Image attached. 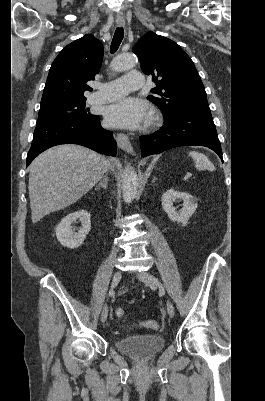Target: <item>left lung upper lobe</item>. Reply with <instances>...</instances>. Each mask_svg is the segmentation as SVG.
Instances as JSON below:
<instances>
[{
	"label": "left lung upper lobe",
	"instance_id": "5c2ea615",
	"mask_svg": "<svg viewBox=\"0 0 265 401\" xmlns=\"http://www.w3.org/2000/svg\"><path fill=\"white\" fill-rule=\"evenodd\" d=\"M142 71L152 75L156 87L149 96L164 116L186 109H209L206 92L191 58L174 41L153 32L145 34L133 47Z\"/></svg>",
	"mask_w": 265,
	"mask_h": 401
}]
</instances>
